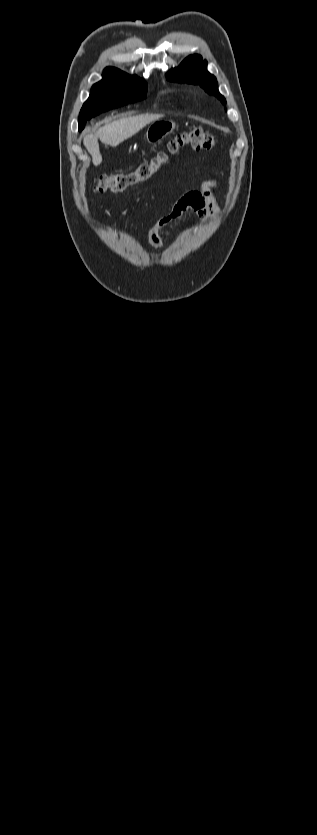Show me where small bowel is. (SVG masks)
I'll return each instance as SVG.
<instances>
[{"instance_id":"c3829d8e","label":"small bowel","mask_w":317,"mask_h":835,"mask_svg":"<svg viewBox=\"0 0 317 835\" xmlns=\"http://www.w3.org/2000/svg\"><path fill=\"white\" fill-rule=\"evenodd\" d=\"M219 187L215 179L204 180L200 187L187 191L171 207L169 212L157 219L148 231V243L155 249L163 248L161 230L180 219L187 211L194 212L205 223L213 224L219 216V207L213 195V190Z\"/></svg>"}]
</instances>
